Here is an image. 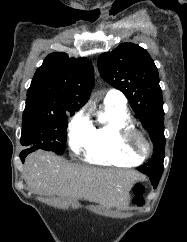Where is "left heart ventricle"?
<instances>
[{
	"mask_svg": "<svg viewBox=\"0 0 187 242\" xmlns=\"http://www.w3.org/2000/svg\"><path fill=\"white\" fill-rule=\"evenodd\" d=\"M133 146L139 154H145L147 151V146L145 142L140 138L134 139Z\"/></svg>",
	"mask_w": 187,
	"mask_h": 242,
	"instance_id": "1",
	"label": "left heart ventricle"
}]
</instances>
